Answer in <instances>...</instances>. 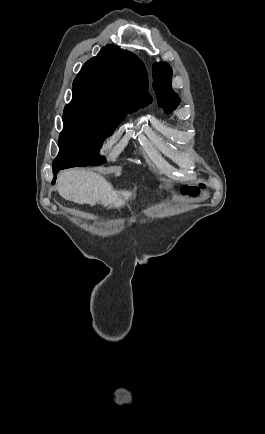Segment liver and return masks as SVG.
I'll return each instance as SVG.
<instances>
[{
  "instance_id": "obj_1",
  "label": "liver",
  "mask_w": 265,
  "mask_h": 434,
  "mask_svg": "<svg viewBox=\"0 0 265 434\" xmlns=\"http://www.w3.org/2000/svg\"><path fill=\"white\" fill-rule=\"evenodd\" d=\"M59 196L76 204H103L105 208H121L132 192H116L100 174L86 170H64L57 180Z\"/></svg>"
}]
</instances>
